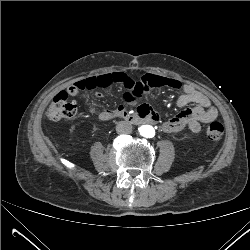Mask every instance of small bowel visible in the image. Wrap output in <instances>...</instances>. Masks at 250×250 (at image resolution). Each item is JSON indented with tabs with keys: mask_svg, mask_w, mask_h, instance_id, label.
I'll use <instances>...</instances> for the list:
<instances>
[{
	"mask_svg": "<svg viewBox=\"0 0 250 250\" xmlns=\"http://www.w3.org/2000/svg\"><path fill=\"white\" fill-rule=\"evenodd\" d=\"M163 78L165 79L164 85L182 90L177 105L183 108L179 114L164 122L162 126L164 132H178L187 127L192 132L197 133L201 130L202 123H211L217 118L218 111L216 107L204 93L190 84H184L173 78ZM139 81L131 80L129 82L130 91L126 95L130 101L137 99L141 95V92L136 89V84ZM74 95L76 94L72 96ZM97 95L100 96V93H97ZM190 104H194V106H190ZM119 109H122V107H119Z\"/></svg>",
	"mask_w": 250,
	"mask_h": 250,
	"instance_id": "small-bowel-1",
	"label": "small bowel"
}]
</instances>
